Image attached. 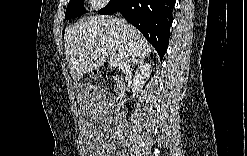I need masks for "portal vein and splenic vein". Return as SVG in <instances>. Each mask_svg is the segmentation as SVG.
Returning a JSON list of instances; mask_svg holds the SVG:
<instances>
[{
	"label": "portal vein and splenic vein",
	"instance_id": "1",
	"mask_svg": "<svg viewBox=\"0 0 247 156\" xmlns=\"http://www.w3.org/2000/svg\"><path fill=\"white\" fill-rule=\"evenodd\" d=\"M109 64H110V66L113 67V68L117 67V62L114 61V60H112V59H110Z\"/></svg>",
	"mask_w": 247,
	"mask_h": 156
}]
</instances>
